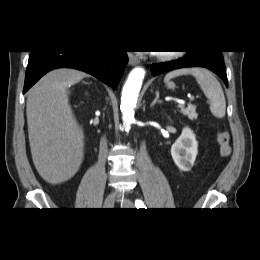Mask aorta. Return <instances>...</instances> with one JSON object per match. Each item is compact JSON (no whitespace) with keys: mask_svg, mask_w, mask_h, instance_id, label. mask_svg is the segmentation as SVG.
<instances>
[{"mask_svg":"<svg viewBox=\"0 0 260 260\" xmlns=\"http://www.w3.org/2000/svg\"><path fill=\"white\" fill-rule=\"evenodd\" d=\"M145 76V70L142 67L134 68L122 89L121 105L122 119L126 131L134 121V110L136 108L138 94Z\"/></svg>","mask_w":260,"mask_h":260,"instance_id":"762f6f07","label":"aorta"}]
</instances>
